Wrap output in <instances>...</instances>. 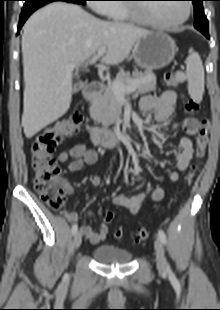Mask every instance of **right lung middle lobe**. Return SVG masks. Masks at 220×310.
Wrapping results in <instances>:
<instances>
[{
  "label": "right lung middle lobe",
  "mask_w": 220,
  "mask_h": 310,
  "mask_svg": "<svg viewBox=\"0 0 220 310\" xmlns=\"http://www.w3.org/2000/svg\"><path fill=\"white\" fill-rule=\"evenodd\" d=\"M25 4H36V3H40V2H43L45 0H25ZM80 2H82L83 4H85V1L86 0H78Z\"/></svg>",
  "instance_id": "obj_1"
}]
</instances>
